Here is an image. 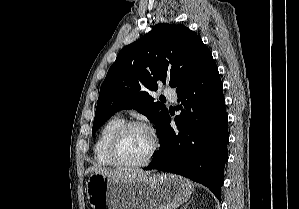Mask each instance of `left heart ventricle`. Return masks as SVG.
<instances>
[{"mask_svg":"<svg viewBox=\"0 0 299 209\" xmlns=\"http://www.w3.org/2000/svg\"><path fill=\"white\" fill-rule=\"evenodd\" d=\"M151 147L148 134L138 128L128 130L120 139L118 158L124 163H136L143 160Z\"/></svg>","mask_w":299,"mask_h":209,"instance_id":"left-heart-ventricle-1","label":"left heart ventricle"}]
</instances>
